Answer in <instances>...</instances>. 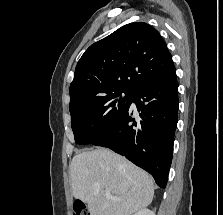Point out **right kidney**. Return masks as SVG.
Returning <instances> with one entry per match:
<instances>
[{
    "label": "right kidney",
    "instance_id": "right-kidney-1",
    "mask_svg": "<svg viewBox=\"0 0 223 215\" xmlns=\"http://www.w3.org/2000/svg\"><path fill=\"white\" fill-rule=\"evenodd\" d=\"M133 215H155V211H151V209L143 207V209H139V211H137V213H133Z\"/></svg>",
    "mask_w": 223,
    "mask_h": 215
}]
</instances>
